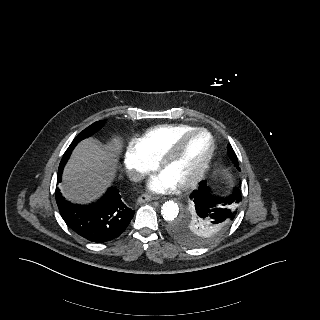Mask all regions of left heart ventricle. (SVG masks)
I'll use <instances>...</instances> for the list:
<instances>
[{
    "instance_id": "obj_1",
    "label": "left heart ventricle",
    "mask_w": 320,
    "mask_h": 320,
    "mask_svg": "<svg viewBox=\"0 0 320 320\" xmlns=\"http://www.w3.org/2000/svg\"><path fill=\"white\" fill-rule=\"evenodd\" d=\"M208 149L205 135H197L186 142L182 151L163 171L162 174L176 185L189 178L198 168Z\"/></svg>"
}]
</instances>
